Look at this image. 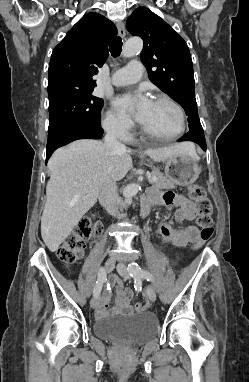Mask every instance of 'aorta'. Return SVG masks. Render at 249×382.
<instances>
[{
  "mask_svg": "<svg viewBox=\"0 0 249 382\" xmlns=\"http://www.w3.org/2000/svg\"><path fill=\"white\" fill-rule=\"evenodd\" d=\"M143 48V41L139 37H133L126 41L124 44V47L122 49V55L124 57H132L138 53L141 52ZM139 191V185L138 184H130L127 187H125L123 191L124 197H132L136 195Z\"/></svg>",
  "mask_w": 249,
  "mask_h": 382,
  "instance_id": "762f6f07",
  "label": "aorta"
}]
</instances>
